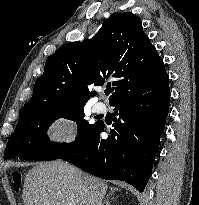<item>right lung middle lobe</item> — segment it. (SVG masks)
I'll return each mask as SVG.
<instances>
[{
    "label": "right lung middle lobe",
    "mask_w": 199,
    "mask_h": 205,
    "mask_svg": "<svg viewBox=\"0 0 199 205\" xmlns=\"http://www.w3.org/2000/svg\"><path fill=\"white\" fill-rule=\"evenodd\" d=\"M85 104L62 102L28 103L19 113L18 124L8 140L4 159L19 157L28 160H55L79 152L89 142L100 125L90 124L85 119ZM64 117L77 122L78 134L71 144H57L49 141L48 127Z\"/></svg>",
    "instance_id": "1"
}]
</instances>
